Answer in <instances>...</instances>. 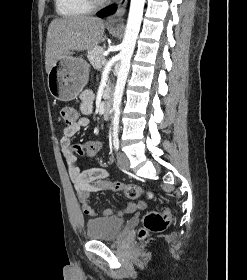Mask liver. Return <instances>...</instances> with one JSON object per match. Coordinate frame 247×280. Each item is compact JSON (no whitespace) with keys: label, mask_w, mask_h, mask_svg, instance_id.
<instances>
[{"label":"liver","mask_w":247,"mask_h":280,"mask_svg":"<svg viewBox=\"0 0 247 280\" xmlns=\"http://www.w3.org/2000/svg\"><path fill=\"white\" fill-rule=\"evenodd\" d=\"M104 22L95 17L74 16L54 19L46 38L45 69L49 74L55 63L69 51L91 50L105 41Z\"/></svg>","instance_id":"liver-1"}]
</instances>
